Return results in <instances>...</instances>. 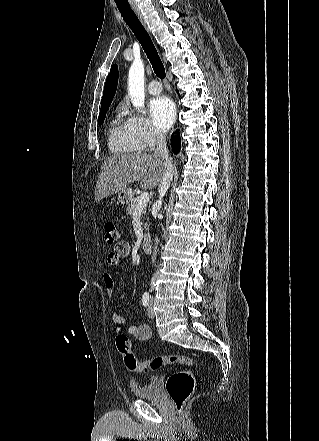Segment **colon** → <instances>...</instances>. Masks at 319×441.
Returning <instances> with one entry per match:
<instances>
[{
    "label": "colon",
    "instance_id": "colon-1",
    "mask_svg": "<svg viewBox=\"0 0 319 441\" xmlns=\"http://www.w3.org/2000/svg\"><path fill=\"white\" fill-rule=\"evenodd\" d=\"M120 237V232L114 223L108 222L104 225V240L107 244L117 243ZM115 343L117 350L123 356L126 367L132 372L148 373L150 371H157L166 365H183L187 367L185 370L172 373L166 381V391L169 397L177 411L179 413L182 412L186 401L192 395L195 387V377L193 374L194 360L185 355L170 354L141 361L132 353L129 337L120 330L116 333Z\"/></svg>",
    "mask_w": 319,
    "mask_h": 441
}]
</instances>
